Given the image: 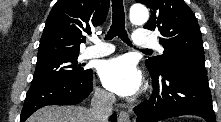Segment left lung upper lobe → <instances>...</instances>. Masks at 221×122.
Wrapping results in <instances>:
<instances>
[{
    "instance_id": "1",
    "label": "left lung upper lobe",
    "mask_w": 221,
    "mask_h": 122,
    "mask_svg": "<svg viewBox=\"0 0 221 122\" xmlns=\"http://www.w3.org/2000/svg\"><path fill=\"white\" fill-rule=\"evenodd\" d=\"M151 9V17L144 25L161 34L165 49L161 56L146 60L149 71L162 75L179 64L204 67V48L200 27L192 10L183 0H136Z\"/></svg>"
}]
</instances>
